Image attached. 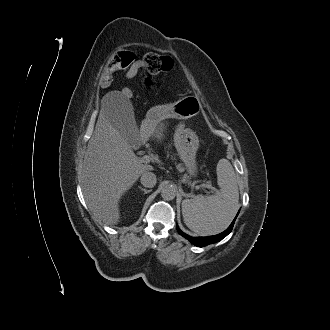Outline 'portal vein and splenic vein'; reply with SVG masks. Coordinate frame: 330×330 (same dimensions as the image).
<instances>
[{"label":"portal vein and splenic vein","mask_w":330,"mask_h":330,"mask_svg":"<svg viewBox=\"0 0 330 330\" xmlns=\"http://www.w3.org/2000/svg\"><path fill=\"white\" fill-rule=\"evenodd\" d=\"M151 160H152V157L149 156V155H144V156L141 157V162H143V163H149V162H151ZM198 187L199 188L201 187V188H208V189H210V188H212V185H210V184H202V185H200Z\"/></svg>","instance_id":"portal-vein-and-splenic-vein-1"}]
</instances>
